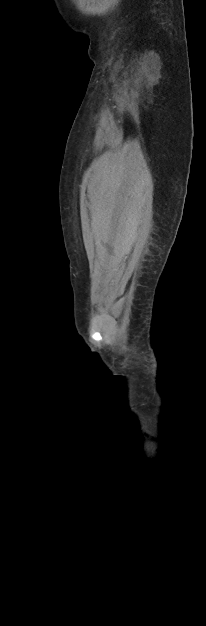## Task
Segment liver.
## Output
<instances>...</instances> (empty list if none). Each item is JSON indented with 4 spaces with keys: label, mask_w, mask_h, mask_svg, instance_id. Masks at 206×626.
Returning a JSON list of instances; mask_svg holds the SVG:
<instances>
[{
    "label": "liver",
    "mask_w": 206,
    "mask_h": 626,
    "mask_svg": "<svg viewBox=\"0 0 206 626\" xmlns=\"http://www.w3.org/2000/svg\"><path fill=\"white\" fill-rule=\"evenodd\" d=\"M93 221H94V222H97L95 217H93Z\"/></svg>",
    "instance_id": "obj_1"
}]
</instances>
